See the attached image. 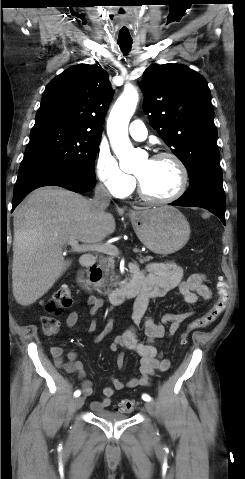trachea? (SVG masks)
Returning <instances> with one entry per match:
<instances>
[{
	"instance_id": "obj_1",
	"label": "trachea",
	"mask_w": 245,
	"mask_h": 479,
	"mask_svg": "<svg viewBox=\"0 0 245 479\" xmlns=\"http://www.w3.org/2000/svg\"><path fill=\"white\" fill-rule=\"evenodd\" d=\"M118 45L123 53H128L132 47V41H119L118 40Z\"/></svg>"
}]
</instances>
